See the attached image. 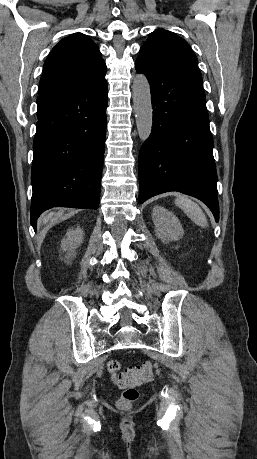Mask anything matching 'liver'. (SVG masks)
I'll return each instance as SVG.
<instances>
[{
	"instance_id": "6515ba94",
	"label": "liver",
	"mask_w": 257,
	"mask_h": 459,
	"mask_svg": "<svg viewBox=\"0 0 257 459\" xmlns=\"http://www.w3.org/2000/svg\"><path fill=\"white\" fill-rule=\"evenodd\" d=\"M53 215H54V213L51 212V213L47 214L46 216H43L40 219V222L43 223V224H46L49 220H51L53 218Z\"/></svg>"
}]
</instances>
